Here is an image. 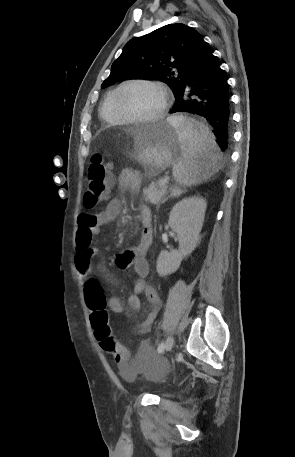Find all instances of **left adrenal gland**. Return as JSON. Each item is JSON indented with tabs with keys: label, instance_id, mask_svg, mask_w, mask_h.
Instances as JSON below:
<instances>
[{
	"label": "left adrenal gland",
	"instance_id": "1",
	"mask_svg": "<svg viewBox=\"0 0 295 457\" xmlns=\"http://www.w3.org/2000/svg\"><path fill=\"white\" fill-rule=\"evenodd\" d=\"M173 195H174V194L172 193L169 197H172ZM169 197H168V198H169ZM168 198H166L164 201H166Z\"/></svg>",
	"mask_w": 295,
	"mask_h": 457
}]
</instances>
